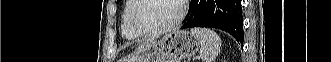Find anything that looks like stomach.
<instances>
[{
    "mask_svg": "<svg viewBox=\"0 0 331 62\" xmlns=\"http://www.w3.org/2000/svg\"><path fill=\"white\" fill-rule=\"evenodd\" d=\"M200 39L189 31H172L160 40L140 44L132 53L133 62H180L194 55L200 48ZM168 62V61H167Z\"/></svg>",
    "mask_w": 331,
    "mask_h": 62,
    "instance_id": "0dacf381",
    "label": "stomach"
}]
</instances>
